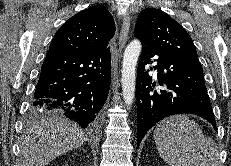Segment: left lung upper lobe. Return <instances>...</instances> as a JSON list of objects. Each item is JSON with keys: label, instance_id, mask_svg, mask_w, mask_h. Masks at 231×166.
<instances>
[{"label": "left lung upper lobe", "instance_id": "left-lung-upper-lobe-1", "mask_svg": "<svg viewBox=\"0 0 231 166\" xmlns=\"http://www.w3.org/2000/svg\"><path fill=\"white\" fill-rule=\"evenodd\" d=\"M134 36L142 44L172 58L198 61L196 48L186 30L168 14L155 8L143 9Z\"/></svg>", "mask_w": 231, "mask_h": 166}]
</instances>
